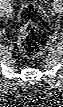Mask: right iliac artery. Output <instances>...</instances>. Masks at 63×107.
<instances>
[{"label":"right iliac artery","instance_id":"1","mask_svg":"<svg viewBox=\"0 0 63 107\" xmlns=\"http://www.w3.org/2000/svg\"><path fill=\"white\" fill-rule=\"evenodd\" d=\"M0 6H5L6 9H7V12H11V6L10 4L8 3L7 0H1V3H0Z\"/></svg>","mask_w":63,"mask_h":107}]
</instances>
